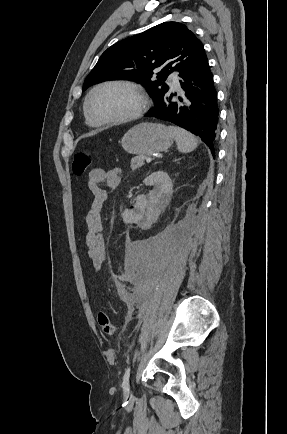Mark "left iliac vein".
Masks as SVG:
<instances>
[{"label": "left iliac vein", "instance_id": "obj_1", "mask_svg": "<svg viewBox=\"0 0 287 434\" xmlns=\"http://www.w3.org/2000/svg\"><path fill=\"white\" fill-rule=\"evenodd\" d=\"M129 393H130V388H129L128 391L125 392V394L128 395Z\"/></svg>", "mask_w": 287, "mask_h": 434}]
</instances>
